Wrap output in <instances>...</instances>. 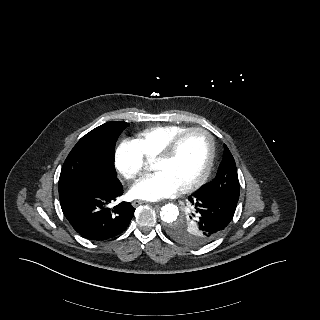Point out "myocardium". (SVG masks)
Returning <instances> with one entry per match:
<instances>
[{"instance_id": "obj_1", "label": "myocardium", "mask_w": 320, "mask_h": 320, "mask_svg": "<svg viewBox=\"0 0 320 320\" xmlns=\"http://www.w3.org/2000/svg\"><path fill=\"white\" fill-rule=\"evenodd\" d=\"M192 133H202L203 135L206 136L208 143H209V155H208V159H207L205 168L202 171V173L199 175V177L196 178L194 181L182 186L180 188V192H189V191H192V190L198 188L209 177L211 170L213 168L215 156H216V146H215V141H214L212 134L208 130H206L202 127H189L187 129H185L184 131L180 132L179 134H177L166 145V147L163 149V151L154 159V162H164V161L170 160L174 156L181 141L186 136H188Z\"/></svg>"}]
</instances>
